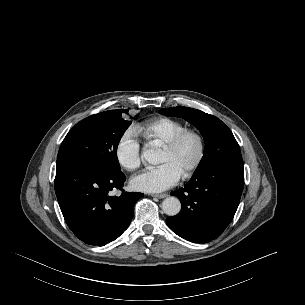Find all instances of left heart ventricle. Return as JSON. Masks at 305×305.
I'll use <instances>...</instances> for the list:
<instances>
[{
	"label": "left heart ventricle",
	"mask_w": 305,
	"mask_h": 305,
	"mask_svg": "<svg viewBox=\"0 0 305 305\" xmlns=\"http://www.w3.org/2000/svg\"><path fill=\"white\" fill-rule=\"evenodd\" d=\"M198 145L193 137H187L174 151L162 150L160 163H171L183 174L196 160Z\"/></svg>",
	"instance_id": "1"
}]
</instances>
